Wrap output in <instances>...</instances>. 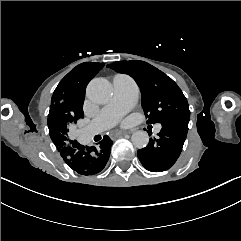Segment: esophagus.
<instances>
[{"mask_svg": "<svg viewBox=\"0 0 241 241\" xmlns=\"http://www.w3.org/2000/svg\"><path fill=\"white\" fill-rule=\"evenodd\" d=\"M125 134H126V132H124V131L112 132V133L110 134V137L113 138V139H115V138H118V137L123 136V135H125Z\"/></svg>", "mask_w": 241, "mask_h": 241, "instance_id": "esophagus-1", "label": "esophagus"}]
</instances>
